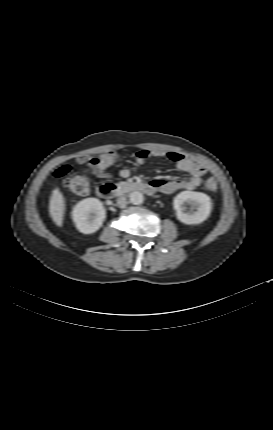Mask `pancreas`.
Instances as JSON below:
<instances>
[{
	"instance_id": "1",
	"label": "pancreas",
	"mask_w": 273,
	"mask_h": 430,
	"mask_svg": "<svg viewBox=\"0 0 273 430\" xmlns=\"http://www.w3.org/2000/svg\"><path fill=\"white\" fill-rule=\"evenodd\" d=\"M117 187H118V190L120 192H123L124 190H126L129 187V183H127V182H119V183H117Z\"/></svg>"
}]
</instances>
